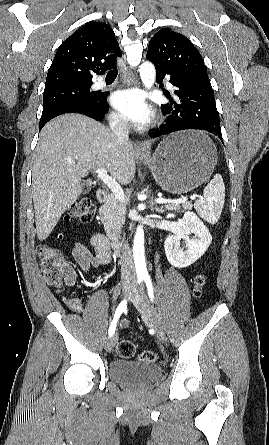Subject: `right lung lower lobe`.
I'll use <instances>...</instances> for the list:
<instances>
[{
  "instance_id": "obj_1",
  "label": "right lung lower lobe",
  "mask_w": 269,
  "mask_h": 445,
  "mask_svg": "<svg viewBox=\"0 0 269 445\" xmlns=\"http://www.w3.org/2000/svg\"><path fill=\"white\" fill-rule=\"evenodd\" d=\"M102 98L100 99L97 106L93 107L91 110H77L71 113H80L83 115H86L88 117H91L97 121H100L103 119L104 113L107 111L108 103H107V95L108 94H102ZM42 128L40 127V130Z\"/></svg>"
}]
</instances>
